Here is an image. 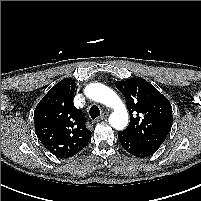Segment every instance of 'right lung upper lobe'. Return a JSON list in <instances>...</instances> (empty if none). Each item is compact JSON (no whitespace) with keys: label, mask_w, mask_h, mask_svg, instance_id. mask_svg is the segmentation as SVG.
I'll use <instances>...</instances> for the list:
<instances>
[{"label":"right lung upper lobe","mask_w":201,"mask_h":201,"mask_svg":"<svg viewBox=\"0 0 201 201\" xmlns=\"http://www.w3.org/2000/svg\"><path fill=\"white\" fill-rule=\"evenodd\" d=\"M75 81L58 82L42 98L34 111L35 130L42 144L55 156L72 157L88 143L92 131L83 112L73 104Z\"/></svg>","instance_id":"1"}]
</instances>
